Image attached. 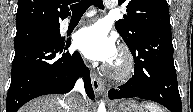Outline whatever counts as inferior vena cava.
<instances>
[{
    "label": "inferior vena cava",
    "mask_w": 193,
    "mask_h": 112,
    "mask_svg": "<svg viewBox=\"0 0 193 112\" xmlns=\"http://www.w3.org/2000/svg\"><path fill=\"white\" fill-rule=\"evenodd\" d=\"M82 85L79 82L68 97L70 112H87L85 110V97L81 91Z\"/></svg>",
    "instance_id": "602c4592"
}]
</instances>
